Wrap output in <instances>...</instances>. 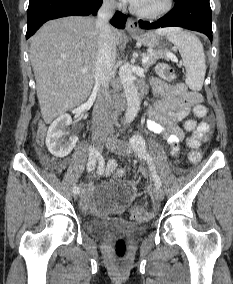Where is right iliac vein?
Returning a JSON list of instances; mask_svg holds the SVG:
<instances>
[{"label":"right iliac vein","instance_id":"obj_1","mask_svg":"<svg viewBox=\"0 0 233 284\" xmlns=\"http://www.w3.org/2000/svg\"><path fill=\"white\" fill-rule=\"evenodd\" d=\"M106 141H107V138L104 135H102V134L96 133L93 136V142H94L95 148L99 152L102 151ZM78 197H79V193L74 195L75 199H78Z\"/></svg>","mask_w":233,"mask_h":284}]
</instances>
